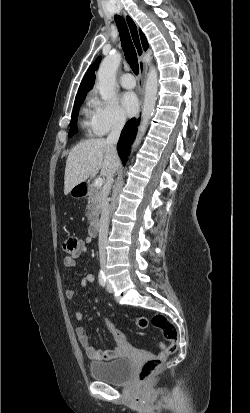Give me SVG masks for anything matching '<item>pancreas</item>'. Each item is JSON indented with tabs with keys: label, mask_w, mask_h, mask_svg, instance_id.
<instances>
[{
	"label": "pancreas",
	"mask_w": 250,
	"mask_h": 413,
	"mask_svg": "<svg viewBox=\"0 0 250 413\" xmlns=\"http://www.w3.org/2000/svg\"><path fill=\"white\" fill-rule=\"evenodd\" d=\"M102 196L103 192L99 187L95 186V184L89 185L88 211L86 212V216L91 225L98 221L101 210Z\"/></svg>",
	"instance_id": "cf45deb5"
}]
</instances>
